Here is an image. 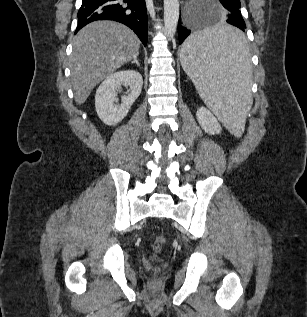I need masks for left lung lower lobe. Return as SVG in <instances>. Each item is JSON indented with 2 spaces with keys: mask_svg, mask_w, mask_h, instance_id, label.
<instances>
[{
  "mask_svg": "<svg viewBox=\"0 0 307 317\" xmlns=\"http://www.w3.org/2000/svg\"><path fill=\"white\" fill-rule=\"evenodd\" d=\"M224 8L227 10L226 12V17L227 20L226 22L238 27L240 30L245 31L246 25L245 22L242 18V16H239L233 12H230L226 7V1L225 0H220ZM192 29H190L188 26H182L180 23V19L178 22V34H179V44H182V42L187 38V36L191 33ZM245 42V36L244 34L240 31V36L237 38H230L224 40L221 44L223 46V49L229 53V54H235L238 52L243 44Z\"/></svg>",
  "mask_w": 307,
  "mask_h": 317,
  "instance_id": "1",
  "label": "left lung lower lobe"
}]
</instances>
